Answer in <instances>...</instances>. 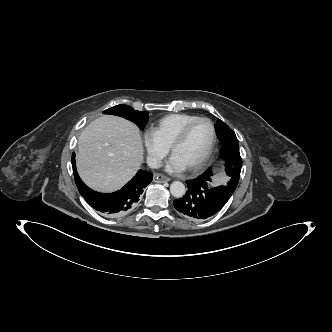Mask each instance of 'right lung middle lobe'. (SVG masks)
<instances>
[{"label": "right lung middle lobe", "instance_id": "obj_1", "mask_svg": "<svg viewBox=\"0 0 332 332\" xmlns=\"http://www.w3.org/2000/svg\"><path fill=\"white\" fill-rule=\"evenodd\" d=\"M104 114H113L121 116L134 122L141 130L145 127L148 121V112L136 111L128 105H117L109 108L103 112Z\"/></svg>", "mask_w": 332, "mask_h": 332}]
</instances>
